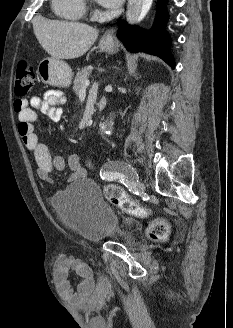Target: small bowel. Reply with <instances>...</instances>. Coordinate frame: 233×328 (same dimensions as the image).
Segmentation results:
<instances>
[{"label":"small bowel","instance_id":"1","mask_svg":"<svg viewBox=\"0 0 233 328\" xmlns=\"http://www.w3.org/2000/svg\"><path fill=\"white\" fill-rule=\"evenodd\" d=\"M66 98L59 90H50L43 96H32L30 99L19 98L14 101V111L18 119V133L24 146L34 155L37 169V177L44 182L52 183L54 170L64 168V160L61 157H53L47 146L41 143L34 130L37 120L36 110L47 114L52 121H60L63 110L60 107ZM68 165L72 170L70 181L85 178L86 169L82 165L81 156L73 154L68 159ZM73 271L79 278L77 290L74 291L69 281V274ZM55 280L58 293L63 299L70 302H82L89 298L95 289L92 270L88 264L80 259L61 255L55 263Z\"/></svg>","mask_w":233,"mask_h":328}]
</instances>
